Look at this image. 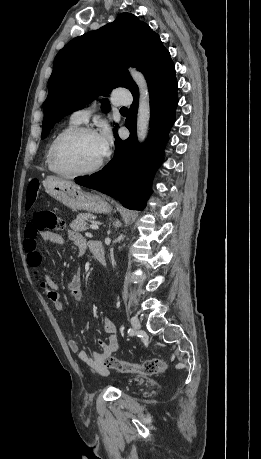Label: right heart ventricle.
<instances>
[{
    "label": "right heart ventricle",
    "instance_id": "right-heart-ventricle-1",
    "mask_svg": "<svg viewBox=\"0 0 261 459\" xmlns=\"http://www.w3.org/2000/svg\"><path fill=\"white\" fill-rule=\"evenodd\" d=\"M79 123L73 121L72 119L69 120V122L64 125L63 127H61L60 129H58L54 135L51 137L48 145H47V148H46V152H45V163L47 165V168L51 171V172H55V170L53 169L52 165H51V161H50V155H51V149H52V146H53V143L55 142V140L58 138V136H60L62 133H64L65 131L69 130V129H72L74 127H77Z\"/></svg>",
    "mask_w": 261,
    "mask_h": 459
}]
</instances>
